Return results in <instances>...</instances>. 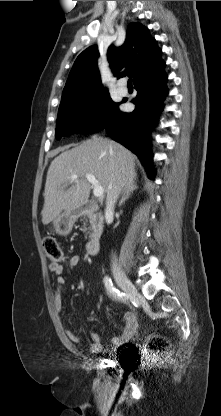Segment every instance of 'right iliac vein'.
<instances>
[{
    "mask_svg": "<svg viewBox=\"0 0 221 416\" xmlns=\"http://www.w3.org/2000/svg\"><path fill=\"white\" fill-rule=\"evenodd\" d=\"M114 277L117 284L121 287V289L128 295L135 297L138 295V291L133 285V283L129 280L126 274L120 270H114Z\"/></svg>",
    "mask_w": 221,
    "mask_h": 416,
    "instance_id": "right-iliac-vein-1",
    "label": "right iliac vein"
}]
</instances>
